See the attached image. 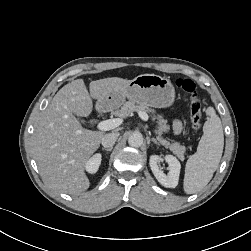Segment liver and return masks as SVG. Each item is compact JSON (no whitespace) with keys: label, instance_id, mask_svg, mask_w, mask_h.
Listing matches in <instances>:
<instances>
[{"label":"liver","instance_id":"6515ba94","mask_svg":"<svg viewBox=\"0 0 251 251\" xmlns=\"http://www.w3.org/2000/svg\"><path fill=\"white\" fill-rule=\"evenodd\" d=\"M130 81L118 77L92 81L88 92L83 79H77L53 97L38 119L32 137L34 158L51 187L72 195L89 188L85 163L99 148L104 133L82 128L76 116H89L92 99L102 102L110 90Z\"/></svg>","mask_w":251,"mask_h":251}]
</instances>
